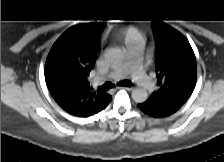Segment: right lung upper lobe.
<instances>
[{"label": "right lung upper lobe", "mask_w": 224, "mask_h": 162, "mask_svg": "<svg viewBox=\"0 0 224 162\" xmlns=\"http://www.w3.org/2000/svg\"><path fill=\"white\" fill-rule=\"evenodd\" d=\"M103 29L96 24L71 27L58 38L47 57V87L58 105L71 115L89 117L112 99L100 88L94 91L87 78L96 61Z\"/></svg>", "instance_id": "right-lung-upper-lobe-1"}]
</instances>
